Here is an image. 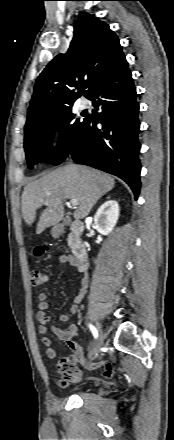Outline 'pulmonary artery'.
Masks as SVG:
<instances>
[{"label":"pulmonary artery","instance_id":"obj_1","mask_svg":"<svg viewBox=\"0 0 174 440\" xmlns=\"http://www.w3.org/2000/svg\"><path fill=\"white\" fill-rule=\"evenodd\" d=\"M88 107H89V102L86 101V100H82L81 103H80V108L81 109H85V108H88Z\"/></svg>","mask_w":174,"mask_h":440}]
</instances>
